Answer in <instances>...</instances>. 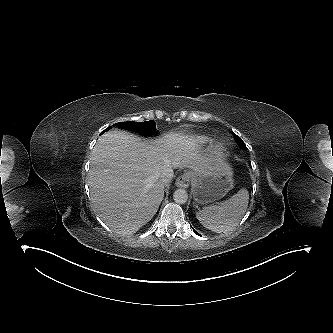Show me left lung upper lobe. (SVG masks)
Segmentation results:
<instances>
[{"instance_id": "left-lung-upper-lobe-1", "label": "left lung upper lobe", "mask_w": 333, "mask_h": 333, "mask_svg": "<svg viewBox=\"0 0 333 333\" xmlns=\"http://www.w3.org/2000/svg\"><path fill=\"white\" fill-rule=\"evenodd\" d=\"M234 137H235L236 141L238 142V144L240 145V147L244 148L245 144H244L243 140L241 138H239L236 134H234Z\"/></svg>"}]
</instances>
